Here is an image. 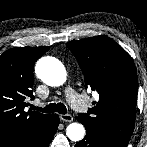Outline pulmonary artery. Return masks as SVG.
<instances>
[{
  "mask_svg": "<svg viewBox=\"0 0 147 147\" xmlns=\"http://www.w3.org/2000/svg\"><path fill=\"white\" fill-rule=\"evenodd\" d=\"M65 95L71 106L76 110H82L84 107L83 98L75 92L72 88L68 87L65 90Z\"/></svg>",
  "mask_w": 147,
  "mask_h": 147,
  "instance_id": "pulmonary-artery-1",
  "label": "pulmonary artery"
}]
</instances>
